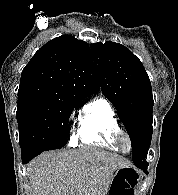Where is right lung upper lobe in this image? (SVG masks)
I'll list each match as a JSON object with an SVG mask.
<instances>
[{
    "label": "right lung upper lobe",
    "instance_id": "cb5924a9",
    "mask_svg": "<svg viewBox=\"0 0 178 195\" xmlns=\"http://www.w3.org/2000/svg\"><path fill=\"white\" fill-rule=\"evenodd\" d=\"M89 45L62 35L42 46L21 74L18 97L48 96L82 101L98 92Z\"/></svg>",
    "mask_w": 178,
    "mask_h": 195
}]
</instances>
